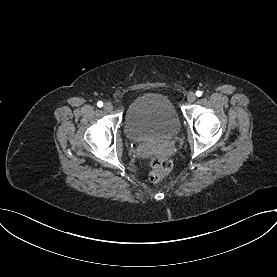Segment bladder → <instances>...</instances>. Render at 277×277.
<instances>
[{"instance_id":"31cf9c89","label":"bladder","mask_w":277,"mask_h":277,"mask_svg":"<svg viewBox=\"0 0 277 277\" xmlns=\"http://www.w3.org/2000/svg\"><path fill=\"white\" fill-rule=\"evenodd\" d=\"M180 128L174 105L162 94L148 93L135 98L125 113L124 130L134 142L171 139Z\"/></svg>"}]
</instances>
